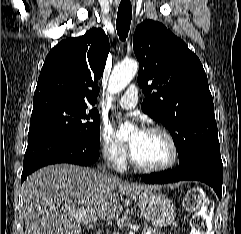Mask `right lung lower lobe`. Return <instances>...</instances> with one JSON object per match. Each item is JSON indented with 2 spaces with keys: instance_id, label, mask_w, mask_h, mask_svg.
Returning <instances> with one entry per match:
<instances>
[{
  "instance_id": "98d812e1",
  "label": "right lung lower lobe",
  "mask_w": 241,
  "mask_h": 234,
  "mask_svg": "<svg viewBox=\"0 0 241 234\" xmlns=\"http://www.w3.org/2000/svg\"><path fill=\"white\" fill-rule=\"evenodd\" d=\"M99 158V150H92L77 141L58 135L30 139L24 155L21 184L35 170L55 163L89 166Z\"/></svg>"
}]
</instances>
